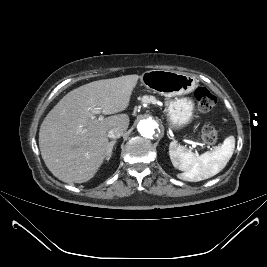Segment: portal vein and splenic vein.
<instances>
[{
    "mask_svg": "<svg viewBox=\"0 0 267 267\" xmlns=\"http://www.w3.org/2000/svg\"><path fill=\"white\" fill-rule=\"evenodd\" d=\"M91 111H92V113H94V114H98V113L101 112V111H100V108H94V109H91ZM103 119H104L103 116H100V117H99V120H100V121L103 120ZM188 143L192 145V149L195 148V143H194V142H192V141H188ZM196 154H198L197 151H196Z\"/></svg>",
    "mask_w": 267,
    "mask_h": 267,
    "instance_id": "1",
    "label": "portal vein and splenic vein"
}]
</instances>
